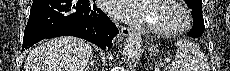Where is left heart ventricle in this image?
<instances>
[{"label": "left heart ventricle", "mask_w": 230, "mask_h": 71, "mask_svg": "<svg viewBox=\"0 0 230 71\" xmlns=\"http://www.w3.org/2000/svg\"><path fill=\"white\" fill-rule=\"evenodd\" d=\"M149 6L152 12L151 25L160 27H176L182 18L174 8L163 5L157 1H150Z\"/></svg>", "instance_id": "left-heart-ventricle-1"}]
</instances>
